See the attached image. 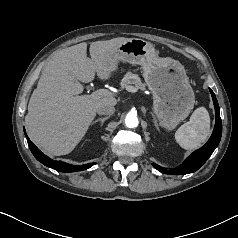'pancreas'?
<instances>
[{
    "label": "pancreas",
    "instance_id": "pancreas-1",
    "mask_svg": "<svg viewBox=\"0 0 238 238\" xmlns=\"http://www.w3.org/2000/svg\"><path fill=\"white\" fill-rule=\"evenodd\" d=\"M134 85V88L136 90H144L145 89V84L141 82V79L137 74H134L132 72H127L124 78L121 80V88H128L131 85Z\"/></svg>",
    "mask_w": 238,
    "mask_h": 238
}]
</instances>
